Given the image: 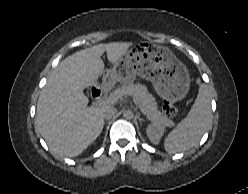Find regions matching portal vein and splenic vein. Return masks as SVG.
I'll list each match as a JSON object with an SVG mask.
<instances>
[{
    "mask_svg": "<svg viewBox=\"0 0 248 194\" xmlns=\"http://www.w3.org/2000/svg\"><path fill=\"white\" fill-rule=\"evenodd\" d=\"M119 98H116V97H113V96H110L108 98H106L105 100H99L97 103L99 105H103V104H107V103H114L118 100ZM134 102L137 104V101L134 100Z\"/></svg>",
    "mask_w": 248,
    "mask_h": 194,
    "instance_id": "1",
    "label": "portal vein and splenic vein"
}]
</instances>
